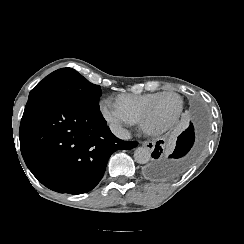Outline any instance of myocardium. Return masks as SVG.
Masks as SVG:
<instances>
[{"mask_svg":"<svg viewBox=\"0 0 244 244\" xmlns=\"http://www.w3.org/2000/svg\"><path fill=\"white\" fill-rule=\"evenodd\" d=\"M166 95L175 97L178 101V105H177L176 109L173 111V113L168 118H164L163 115L160 117V119L165 127L170 125L173 122V120L175 119V117L177 116V114L181 111L182 105H183V100H182L181 96H179L177 93H175L173 91L163 92V93L158 94L157 96L153 95L152 99L150 100L148 107H147V111L153 117L155 114L152 109H153V106L158 102L157 99L162 96H166Z\"/></svg>","mask_w":244,"mask_h":244,"instance_id":"myocardium-1","label":"myocardium"}]
</instances>
